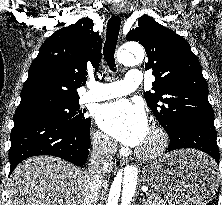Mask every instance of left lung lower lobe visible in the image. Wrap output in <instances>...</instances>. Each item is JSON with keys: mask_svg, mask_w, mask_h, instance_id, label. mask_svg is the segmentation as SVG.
I'll return each mask as SVG.
<instances>
[{"mask_svg": "<svg viewBox=\"0 0 222 205\" xmlns=\"http://www.w3.org/2000/svg\"><path fill=\"white\" fill-rule=\"evenodd\" d=\"M167 151L194 148L210 155L219 165V149L214 120L202 117H188L169 135Z\"/></svg>", "mask_w": 222, "mask_h": 205, "instance_id": "left-lung-lower-lobe-1", "label": "left lung lower lobe"}]
</instances>
